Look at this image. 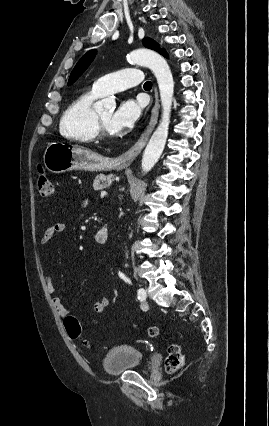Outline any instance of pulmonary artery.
Listing matches in <instances>:
<instances>
[{"instance_id":"obj_1","label":"pulmonary artery","mask_w":269,"mask_h":426,"mask_svg":"<svg viewBox=\"0 0 269 426\" xmlns=\"http://www.w3.org/2000/svg\"><path fill=\"white\" fill-rule=\"evenodd\" d=\"M144 78L143 72L138 68H126L107 74L96 80L92 90L99 96L119 92L139 84Z\"/></svg>"}]
</instances>
